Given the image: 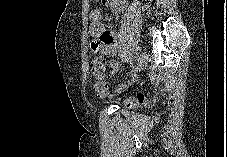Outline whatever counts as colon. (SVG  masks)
Listing matches in <instances>:
<instances>
[{"label": "colon", "mask_w": 227, "mask_h": 157, "mask_svg": "<svg viewBox=\"0 0 227 157\" xmlns=\"http://www.w3.org/2000/svg\"><path fill=\"white\" fill-rule=\"evenodd\" d=\"M151 0H147V4L144 7V12H150L149 2ZM105 69V61L104 58L101 56L95 57L90 64L91 72L96 76H101ZM94 90L96 95L99 98H106L109 95V85L106 81L100 80L95 83ZM151 98L147 95L142 93L137 94L136 96L128 97L125 99V103L129 108H136L147 105L151 103Z\"/></svg>", "instance_id": "5ec220e1"}]
</instances>
